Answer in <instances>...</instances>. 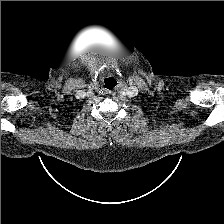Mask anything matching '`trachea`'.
<instances>
[{
	"instance_id": "3493384b",
	"label": "trachea",
	"mask_w": 224,
	"mask_h": 224,
	"mask_svg": "<svg viewBox=\"0 0 224 224\" xmlns=\"http://www.w3.org/2000/svg\"><path fill=\"white\" fill-rule=\"evenodd\" d=\"M104 84H105V87H107V88H113L117 85V81L115 78L110 77V78L104 80Z\"/></svg>"
}]
</instances>
